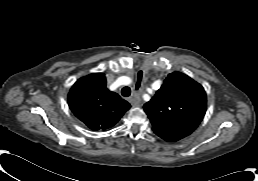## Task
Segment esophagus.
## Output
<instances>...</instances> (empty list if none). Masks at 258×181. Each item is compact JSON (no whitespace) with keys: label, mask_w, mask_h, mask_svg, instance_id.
<instances>
[{"label":"esophagus","mask_w":258,"mask_h":181,"mask_svg":"<svg viewBox=\"0 0 258 181\" xmlns=\"http://www.w3.org/2000/svg\"><path fill=\"white\" fill-rule=\"evenodd\" d=\"M130 102H131V104L134 105V106H139L140 103H141V99H140L139 95L135 93V94L130 98Z\"/></svg>","instance_id":"34e87169"}]
</instances>
